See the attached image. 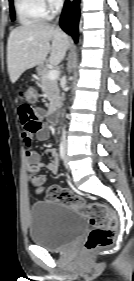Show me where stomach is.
Wrapping results in <instances>:
<instances>
[{
	"instance_id": "0dacf381",
	"label": "stomach",
	"mask_w": 134,
	"mask_h": 281,
	"mask_svg": "<svg viewBox=\"0 0 134 281\" xmlns=\"http://www.w3.org/2000/svg\"><path fill=\"white\" fill-rule=\"evenodd\" d=\"M43 70V66H38L37 71L40 73Z\"/></svg>"
}]
</instances>
